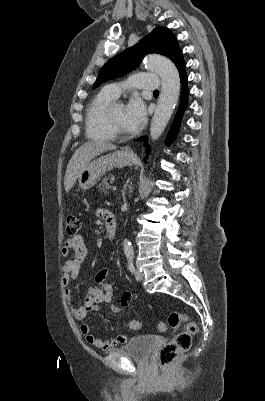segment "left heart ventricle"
I'll list each match as a JSON object with an SVG mask.
<instances>
[{
    "instance_id": "b2bd125f",
    "label": "left heart ventricle",
    "mask_w": 265,
    "mask_h": 401,
    "mask_svg": "<svg viewBox=\"0 0 265 401\" xmlns=\"http://www.w3.org/2000/svg\"><path fill=\"white\" fill-rule=\"evenodd\" d=\"M113 119L114 123L121 135H126L130 131V128L127 126L125 121V109L124 106L114 105L113 108Z\"/></svg>"
}]
</instances>
